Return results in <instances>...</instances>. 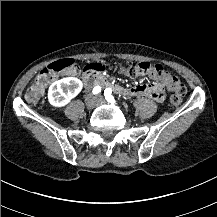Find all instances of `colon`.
<instances>
[{"label":"colon","instance_id":"colon-1","mask_svg":"<svg viewBox=\"0 0 217 217\" xmlns=\"http://www.w3.org/2000/svg\"><path fill=\"white\" fill-rule=\"evenodd\" d=\"M82 68L79 58L75 56L59 59L49 63L42 72L38 75L37 79L28 87L25 93V100L30 104H35L39 101L43 94L44 88L49 86L51 81L65 75L67 73L76 74ZM131 77H147L160 81L161 84L168 86V89H176L177 94L185 95L188 92V87L176 75L170 73L160 66H151L148 62L133 63L128 69ZM183 97L171 94L170 101L172 104H179Z\"/></svg>","mask_w":217,"mask_h":217}]
</instances>
